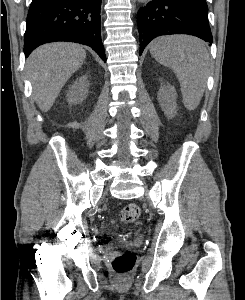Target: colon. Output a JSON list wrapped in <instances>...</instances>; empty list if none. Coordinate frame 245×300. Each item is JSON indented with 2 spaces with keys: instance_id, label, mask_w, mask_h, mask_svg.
Listing matches in <instances>:
<instances>
[{
  "instance_id": "1",
  "label": "colon",
  "mask_w": 245,
  "mask_h": 300,
  "mask_svg": "<svg viewBox=\"0 0 245 300\" xmlns=\"http://www.w3.org/2000/svg\"><path fill=\"white\" fill-rule=\"evenodd\" d=\"M122 221L131 223L140 216V208L136 204L126 205L120 213ZM136 256L131 251H124L117 254L111 262L113 271L120 277L128 276L134 269Z\"/></svg>"
}]
</instances>
